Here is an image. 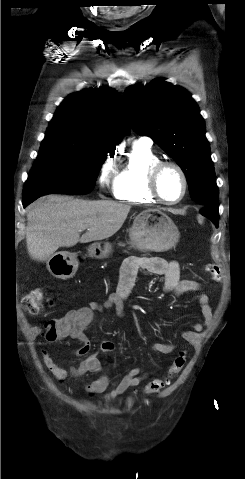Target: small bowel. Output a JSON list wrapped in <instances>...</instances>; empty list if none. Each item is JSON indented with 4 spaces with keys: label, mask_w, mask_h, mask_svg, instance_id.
<instances>
[{
    "label": "small bowel",
    "mask_w": 245,
    "mask_h": 479,
    "mask_svg": "<svg viewBox=\"0 0 245 479\" xmlns=\"http://www.w3.org/2000/svg\"><path fill=\"white\" fill-rule=\"evenodd\" d=\"M140 269L162 275L164 277V290L172 295L179 296L189 292H196L200 289L196 281L180 279V268L176 261H166L158 257L131 256L126 258L120 269L117 288L107 296L104 303L93 302L85 307L71 310L61 318L56 319L67 327L64 338L69 337L80 343L76 354L78 356H86L79 366L65 368L54 359L50 352L43 349V361L59 382H64L67 378H79L86 373L99 374L96 379L85 386V389L90 395H94L104 393L110 388L105 394V399L111 400L130 388L138 386L146 378V375L141 374L139 368H132L120 380L112 382L107 375L101 374L102 367L98 357L95 354L89 355L91 345L86 335V329L91 325L94 313H104L108 309H114L118 316H125V304L132 292ZM197 300L201 307L204 323L196 322L193 325V330L183 333V338L188 342H192L196 333L201 332L213 319V310L210 306L208 295L200 293ZM114 349L115 345L113 342L105 341L101 344V351L104 353H111ZM152 350L161 354H169L175 350V345L156 342L152 345Z\"/></svg>",
    "instance_id": "obj_1"
}]
</instances>
